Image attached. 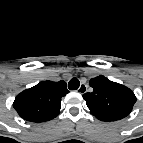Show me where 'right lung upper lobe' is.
Returning <instances> with one entry per match:
<instances>
[{"mask_svg": "<svg viewBox=\"0 0 143 143\" xmlns=\"http://www.w3.org/2000/svg\"><path fill=\"white\" fill-rule=\"evenodd\" d=\"M68 92L64 81L40 82L17 95L13 107L27 121H49L59 114L61 98Z\"/></svg>", "mask_w": 143, "mask_h": 143, "instance_id": "1", "label": "right lung upper lobe"}]
</instances>
